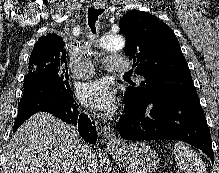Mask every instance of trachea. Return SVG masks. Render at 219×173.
I'll return each mask as SVG.
<instances>
[{
	"instance_id": "obj_1",
	"label": "trachea",
	"mask_w": 219,
	"mask_h": 173,
	"mask_svg": "<svg viewBox=\"0 0 219 173\" xmlns=\"http://www.w3.org/2000/svg\"><path fill=\"white\" fill-rule=\"evenodd\" d=\"M103 12L104 9H94V8L88 9V25L93 34L96 33V21L98 20L99 15L102 14Z\"/></svg>"
}]
</instances>
